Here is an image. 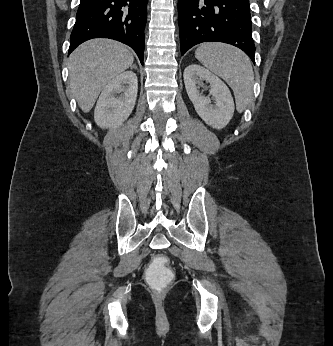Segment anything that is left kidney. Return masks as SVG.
I'll use <instances>...</instances> for the list:
<instances>
[{
    "instance_id": "1",
    "label": "left kidney",
    "mask_w": 333,
    "mask_h": 346,
    "mask_svg": "<svg viewBox=\"0 0 333 346\" xmlns=\"http://www.w3.org/2000/svg\"><path fill=\"white\" fill-rule=\"evenodd\" d=\"M183 77L187 94L201 119L213 128H224L234 114V101L226 84L197 64L187 66ZM203 81L210 84V95L215 99L214 105H211L209 97L199 93Z\"/></svg>"
}]
</instances>
